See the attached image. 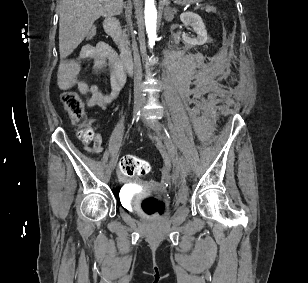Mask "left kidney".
<instances>
[{"instance_id":"obj_1","label":"left kidney","mask_w":308,"mask_h":283,"mask_svg":"<svg viewBox=\"0 0 308 283\" xmlns=\"http://www.w3.org/2000/svg\"><path fill=\"white\" fill-rule=\"evenodd\" d=\"M180 19L185 26L191 25L194 31L197 33L196 38H190L186 34H182V39L186 44L196 46V45H203L206 43L207 31L205 29V25L201 17L192 12L182 13L180 15Z\"/></svg>"}]
</instances>
